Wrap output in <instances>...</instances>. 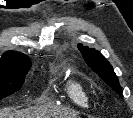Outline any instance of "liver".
Instances as JSON below:
<instances>
[{
    "label": "liver",
    "instance_id": "6515ba94",
    "mask_svg": "<svg viewBox=\"0 0 133 118\" xmlns=\"http://www.w3.org/2000/svg\"><path fill=\"white\" fill-rule=\"evenodd\" d=\"M0 118H77V112L57 106H34L14 112L3 108Z\"/></svg>",
    "mask_w": 133,
    "mask_h": 118
}]
</instances>
